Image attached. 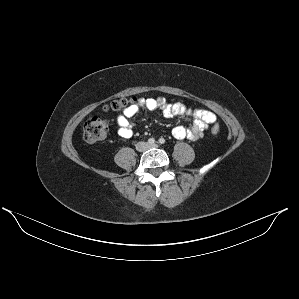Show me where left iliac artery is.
Instances as JSON below:
<instances>
[{"label": "left iliac artery", "instance_id": "left-iliac-artery-1", "mask_svg": "<svg viewBox=\"0 0 299 299\" xmlns=\"http://www.w3.org/2000/svg\"><path fill=\"white\" fill-rule=\"evenodd\" d=\"M159 143H160V144H164V143H165V139H164V138H160V139H159Z\"/></svg>", "mask_w": 299, "mask_h": 299}]
</instances>
